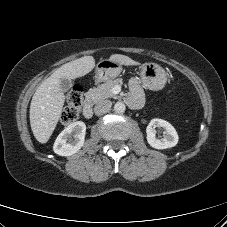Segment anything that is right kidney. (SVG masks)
I'll use <instances>...</instances> for the list:
<instances>
[{
  "label": "right kidney",
  "mask_w": 227,
  "mask_h": 227,
  "mask_svg": "<svg viewBox=\"0 0 227 227\" xmlns=\"http://www.w3.org/2000/svg\"><path fill=\"white\" fill-rule=\"evenodd\" d=\"M86 125L77 121L66 127L56 138L53 150L60 156H70L84 145Z\"/></svg>",
  "instance_id": "ca27d5eb"
}]
</instances>
